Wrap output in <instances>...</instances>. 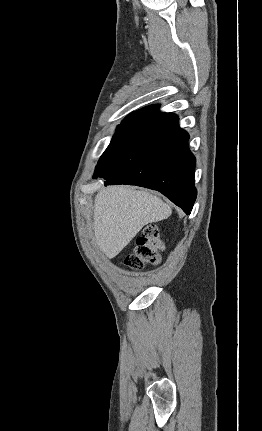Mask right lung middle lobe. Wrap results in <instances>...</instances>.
I'll list each match as a JSON object with an SVG mask.
<instances>
[{
  "label": "right lung middle lobe",
  "mask_w": 262,
  "mask_h": 431,
  "mask_svg": "<svg viewBox=\"0 0 262 431\" xmlns=\"http://www.w3.org/2000/svg\"><path fill=\"white\" fill-rule=\"evenodd\" d=\"M129 127L127 126H118L117 127V132L115 133V135L113 136L111 143L109 144L108 148L124 133L128 130ZM107 148V149H108ZM106 149V150H107Z\"/></svg>",
  "instance_id": "right-lung-middle-lobe-1"
}]
</instances>
